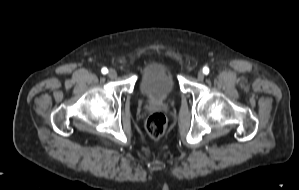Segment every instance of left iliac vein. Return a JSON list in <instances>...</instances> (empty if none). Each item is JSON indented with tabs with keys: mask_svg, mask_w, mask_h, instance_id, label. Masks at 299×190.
<instances>
[{
	"mask_svg": "<svg viewBox=\"0 0 299 190\" xmlns=\"http://www.w3.org/2000/svg\"><path fill=\"white\" fill-rule=\"evenodd\" d=\"M205 77V74L202 71H199L197 74L198 80L202 81Z\"/></svg>",
	"mask_w": 299,
	"mask_h": 190,
	"instance_id": "1",
	"label": "left iliac vein"
}]
</instances>
